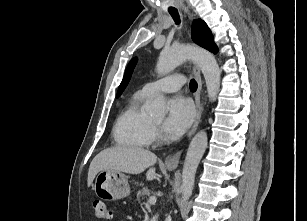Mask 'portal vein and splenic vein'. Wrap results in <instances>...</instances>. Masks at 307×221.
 I'll return each mask as SVG.
<instances>
[{"instance_id": "portal-vein-and-splenic-vein-1", "label": "portal vein and splenic vein", "mask_w": 307, "mask_h": 221, "mask_svg": "<svg viewBox=\"0 0 307 221\" xmlns=\"http://www.w3.org/2000/svg\"><path fill=\"white\" fill-rule=\"evenodd\" d=\"M155 203H156V197L151 196V197H149V199H148V201L145 205H146V207H149L151 204H155Z\"/></svg>"}]
</instances>
